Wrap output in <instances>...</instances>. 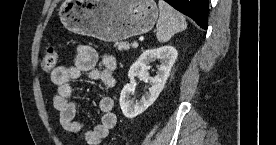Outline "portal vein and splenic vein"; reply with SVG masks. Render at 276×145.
<instances>
[{
	"instance_id": "1",
	"label": "portal vein and splenic vein",
	"mask_w": 276,
	"mask_h": 145,
	"mask_svg": "<svg viewBox=\"0 0 276 145\" xmlns=\"http://www.w3.org/2000/svg\"><path fill=\"white\" fill-rule=\"evenodd\" d=\"M132 47H133V48H138V43H137V42H133V43H132Z\"/></svg>"
}]
</instances>
